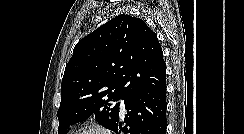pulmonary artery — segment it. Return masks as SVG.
<instances>
[{
	"label": "pulmonary artery",
	"mask_w": 244,
	"mask_h": 134,
	"mask_svg": "<svg viewBox=\"0 0 244 134\" xmlns=\"http://www.w3.org/2000/svg\"><path fill=\"white\" fill-rule=\"evenodd\" d=\"M119 102H120L121 110H122V111H125L124 101L121 99V100H119Z\"/></svg>",
	"instance_id": "obj_1"
}]
</instances>
